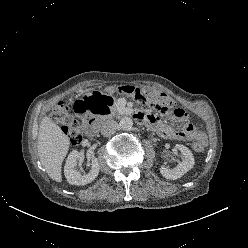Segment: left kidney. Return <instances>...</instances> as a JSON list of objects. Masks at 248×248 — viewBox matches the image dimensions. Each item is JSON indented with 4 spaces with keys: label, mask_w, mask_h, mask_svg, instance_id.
<instances>
[{
    "label": "left kidney",
    "mask_w": 248,
    "mask_h": 248,
    "mask_svg": "<svg viewBox=\"0 0 248 248\" xmlns=\"http://www.w3.org/2000/svg\"><path fill=\"white\" fill-rule=\"evenodd\" d=\"M176 148L181 151L182 161L173 169L161 166L160 172L166 179L176 180L181 178L185 173L191 170L195 164L193 154L189 148L181 144H176Z\"/></svg>",
    "instance_id": "5707ae66"
}]
</instances>
